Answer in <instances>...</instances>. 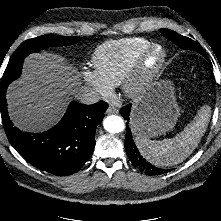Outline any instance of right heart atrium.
<instances>
[{
    "mask_svg": "<svg viewBox=\"0 0 221 221\" xmlns=\"http://www.w3.org/2000/svg\"><path fill=\"white\" fill-rule=\"evenodd\" d=\"M83 78L84 81L91 86L97 94L101 96L110 95L112 87L108 85L95 70L85 69L83 72Z\"/></svg>",
    "mask_w": 221,
    "mask_h": 221,
    "instance_id": "d8ad5b80",
    "label": "right heart atrium"
}]
</instances>
